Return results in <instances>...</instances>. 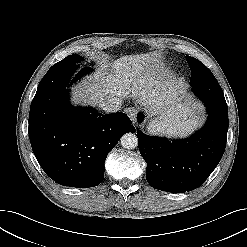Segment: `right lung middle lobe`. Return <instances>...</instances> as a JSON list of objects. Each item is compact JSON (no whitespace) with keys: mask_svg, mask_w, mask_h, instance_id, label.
Returning <instances> with one entry per match:
<instances>
[{"mask_svg":"<svg viewBox=\"0 0 247 247\" xmlns=\"http://www.w3.org/2000/svg\"><path fill=\"white\" fill-rule=\"evenodd\" d=\"M83 61V58L79 55H69L64 58L62 61L54 64L49 71H56L59 69L75 70L79 67L78 63Z\"/></svg>","mask_w":247,"mask_h":247,"instance_id":"obj_1","label":"right lung middle lobe"}]
</instances>
